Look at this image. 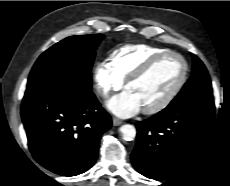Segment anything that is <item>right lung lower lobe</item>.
Wrapping results in <instances>:
<instances>
[{
    "instance_id": "right-lung-lower-lobe-1",
    "label": "right lung lower lobe",
    "mask_w": 230,
    "mask_h": 186,
    "mask_svg": "<svg viewBox=\"0 0 230 186\" xmlns=\"http://www.w3.org/2000/svg\"><path fill=\"white\" fill-rule=\"evenodd\" d=\"M21 116L35 160L63 176L93 166L99 140L112 125L91 90L64 81L26 89Z\"/></svg>"
}]
</instances>
